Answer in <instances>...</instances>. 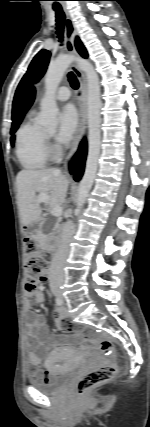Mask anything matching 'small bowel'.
Returning <instances> with one entry per match:
<instances>
[{
	"label": "small bowel",
	"mask_w": 150,
	"mask_h": 427,
	"mask_svg": "<svg viewBox=\"0 0 150 427\" xmlns=\"http://www.w3.org/2000/svg\"><path fill=\"white\" fill-rule=\"evenodd\" d=\"M29 298L35 304H41L44 301L42 290H37L29 294ZM30 303L28 307L30 308ZM54 322L57 328L66 331L67 334H74L78 329V324L74 319L65 318V310L57 308L54 312ZM26 348L28 359L33 366L29 370V376L34 379L45 378V373H41L39 365L41 357L38 352H46L47 350L59 346L65 347L68 352L73 347L82 346V340L78 335H63L52 334L49 331L46 318L39 313L29 310L26 316ZM57 358V355H50L45 361V366H50Z\"/></svg>",
	"instance_id": "small-bowel-1"
}]
</instances>
